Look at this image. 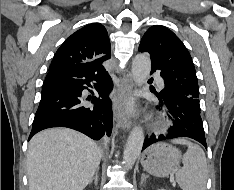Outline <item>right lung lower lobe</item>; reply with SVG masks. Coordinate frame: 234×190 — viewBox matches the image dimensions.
Returning <instances> with one entry per match:
<instances>
[{
    "label": "right lung lower lobe",
    "instance_id": "obj_1",
    "mask_svg": "<svg viewBox=\"0 0 234 190\" xmlns=\"http://www.w3.org/2000/svg\"><path fill=\"white\" fill-rule=\"evenodd\" d=\"M102 63L93 60L48 72L29 139L51 127L72 128L94 140L110 135L113 83ZM89 88H94L97 96L86 98L82 94L87 89L94 95ZM88 101L94 106H88Z\"/></svg>",
    "mask_w": 234,
    "mask_h": 190
}]
</instances>
